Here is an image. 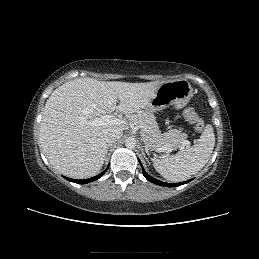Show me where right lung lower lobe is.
<instances>
[{"label":"right lung lower lobe","mask_w":259,"mask_h":259,"mask_svg":"<svg viewBox=\"0 0 259 259\" xmlns=\"http://www.w3.org/2000/svg\"><path fill=\"white\" fill-rule=\"evenodd\" d=\"M108 169V168H107ZM105 169L102 173H100L99 175L95 176V177H92V178H88V179H84V180H75V179H71V178H67L65 177L67 180L71 181V182H74V183H78V184H86V183H89V182H92L94 180H97L99 179L100 177H102V175L106 172Z\"/></svg>","instance_id":"1"}]
</instances>
